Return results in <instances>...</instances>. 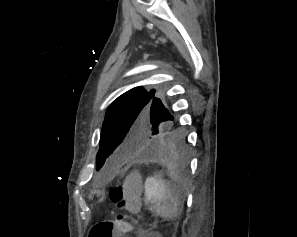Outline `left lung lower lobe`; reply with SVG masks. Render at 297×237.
Returning <instances> with one entry per match:
<instances>
[{"label": "left lung lower lobe", "mask_w": 297, "mask_h": 237, "mask_svg": "<svg viewBox=\"0 0 297 237\" xmlns=\"http://www.w3.org/2000/svg\"><path fill=\"white\" fill-rule=\"evenodd\" d=\"M171 125L161 131L159 136L153 140L146 158H157L164 156H176L186 161L188 155L187 142L180 127L170 119Z\"/></svg>", "instance_id": "0a47b994"}]
</instances>
